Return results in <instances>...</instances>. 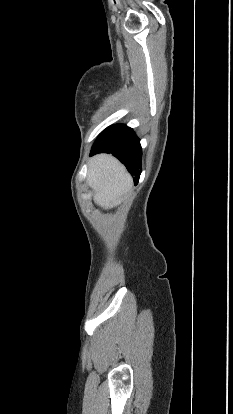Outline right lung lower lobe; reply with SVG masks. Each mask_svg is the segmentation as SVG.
Wrapping results in <instances>:
<instances>
[{
	"label": "right lung lower lobe",
	"mask_w": 233,
	"mask_h": 414,
	"mask_svg": "<svg viewBox=\"0 0 233 414\" xmlns=\"http://www.w3.org/2000/svg\"><path fill=\"white\" fill-rule=\"evenodd\" d=\"M111 153L117 157L135 175L134 183H138L141 173L142 149L140 140L133 130L126 125H115L105 129L94 143L90 156L97 153Z\"/></svg>",
	"instance_id": "right-lung-lower-lobe-1"
}]
</instances>
